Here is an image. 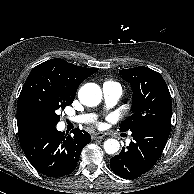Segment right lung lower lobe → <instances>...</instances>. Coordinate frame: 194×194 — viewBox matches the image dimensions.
<instances>
[{
  "instance_id": "obj_1",
  "label": "right lung lower lobe",
  "mask_w": 194,
  "mask_h": 194,
  "mask_svg": "<svg viewBox=\"0 0 194 194\" xmlns=\"http://www.w3.org/2000/svg\"><path fill=\"white\" fill-rule=\"evenodd\" d=\"M21 147L32 166L43 175L59 178L77 166L83 147L91 141L86 131L76 129L73 136L56 127H34L19 134Z\"/></svg>"
}]
</instances>
